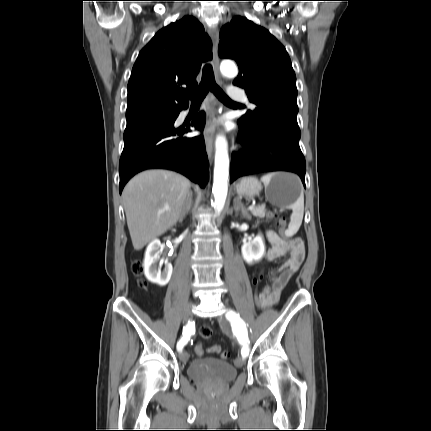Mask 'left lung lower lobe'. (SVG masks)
<instances>
[{
	"label": "left lung lower lobe",
	"mask_w": 431,
	"mask_h": 431,
	"mask_svg": "<svg viewBox=\"0 0 431 431\" xmlns=\"http://www.w3.org/2000/svg\"><path fill=\"white\" fill-rule=\"evenodd\" d=\"M239 127L244 151L232 154L231 182L259 172L289 171L297 173L305 186L306 165L299 147V127L276 121L252 129Z\"/></svg>",
	"instance_id": "1"
}]
</instances>
